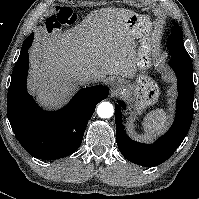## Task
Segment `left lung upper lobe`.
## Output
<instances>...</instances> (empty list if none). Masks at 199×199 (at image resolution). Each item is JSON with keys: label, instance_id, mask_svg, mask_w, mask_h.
<instances>
[{"label": "left lung upper lobe", "instance_id": "obj_1", "mask_svg": "<svg viewBox=\"0 0 199 199\" xmlns=\"http://www.w3.org/2000/svg\"><path fill=\"white\" fill-rule=\"evenodd\" d=\"M169 52L172 58L192 66L191 58L184 47L182 29L176 22H174V29L169 40Z\"/></svg>", "mask_w": 199, "mask_h": 199}]
</instances>
